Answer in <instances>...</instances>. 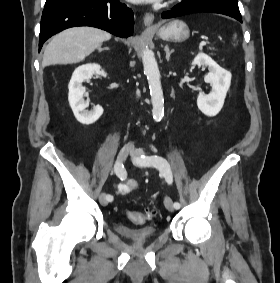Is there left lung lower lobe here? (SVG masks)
<instances>
[{"mask_svg": "<svg viewBox=\"0 0 280 283\" xmlns=\"http://www.w3.org/2000/svg\"><path fill=\"white\" fill-rule=\"evenodd\" d=\"M197 12L224 14L233 17L242 23L241 14L236 13L235 11L226 8L224 6L205 1L183 0L182 2L174 6L171 11L163 12L161 17L163 19H167V18H174V17H179L186 14L197 13Z\"/></svg>", "mask_w": 280, "mask_h": 283, "instance_id": "1", "label": "left lung lower lobe"}]
</instances>
